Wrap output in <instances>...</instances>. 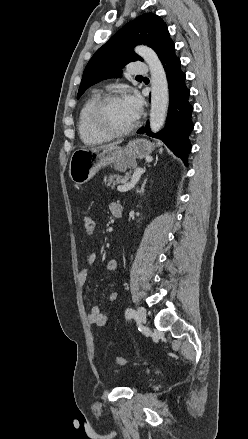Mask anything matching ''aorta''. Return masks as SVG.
<instances>
[{
	"label": "aorta",
	"instance_id": "1",
	"mask_svg": "<svg viewBox=\"0 0 248 439\" xmlns=\"http://www.w3.org/2000/svg\"><path fill=\"white\" fill-rule=\"evenodd\" d=\"M135 51L148 64L151 73L150 128L160 130L166 119L169 105L168 82L165 70L157 54L147 46H138Z\"/></svg>",
	"mask_w": 248,
	"mask_h": 439
}]
</instances>
